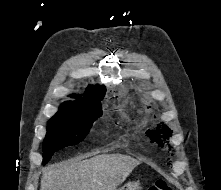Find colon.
Returning a JSON list of instances; mask_svg holds the SVG:
<instances>
[{"instance_id": "5ec220e1", "label": "colon", "mask_w": 221, "mask_h": 190, "mask_svg": "<svg viewBox=\"0 0 221 190\" xmlns=\"http://www.w3.org/2000/svg\"><path fill=\"white\" fill-rule=\"evenodd\" d=\"M148 190H172L167 182L163 179H158L155 183L148 188Z\"/></svg>"}]
</instances>
